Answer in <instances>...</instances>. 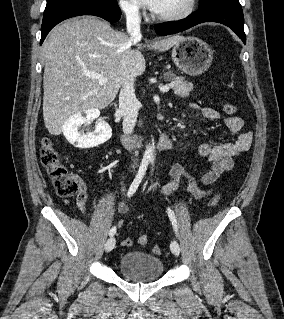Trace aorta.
<instances>
[{"label":"aorta","instance_id":"obj_1","mask_svg":"<svg viewBox=\"0 0 284 319\" xmlns=\"http://www.w3.org/2000/svg\"><path fill=\"white\" fill-rule=\"evenodd\" d=\"M153 147L151 145H148L146 147V150L144 152V159L146 160H152L154 158V154H153Z\"/></svg>","mask_w":284,"mask_h":319}]
</instances>
